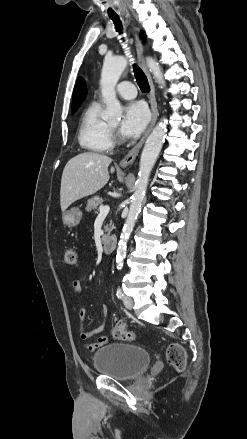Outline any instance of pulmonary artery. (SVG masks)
<instances>
[{
    "label": "pulmonary artery",
    "instance_id": "1",
    "mask_svg": "<svg viewBox=\"0 0 247 439\" xmlns=\"http://www.w3.org/2000/svg\"><path fill=\"white\" fill-rule=\"evenodd\" d=\"M116 92L124 99H133L136 96L134 85L128 81L119 83L116 87Z\"/></svg>",
    "mask_w": 247,
    "mask_h": 439
}]
</instances>
